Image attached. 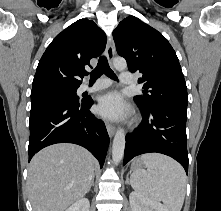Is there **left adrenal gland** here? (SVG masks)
Listing matches in <instances>:
<instances>
[{
    "mask_svg": "<svg viewBox=\"0 0 221 211\" xmlns=\"http://www.w3.org/2000/svg\"><path fill=\"white\" fill-rule=\"evenodd\" d=\"M126 184H129V175H127V178H126Z\"/></svg>",
    "mask_w": 221,
    "mask_h": 211,
    "instance_id": "1",
    "label": "left adrenal gland"
}]
</instances>
